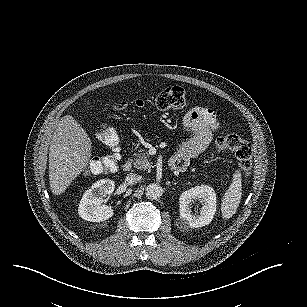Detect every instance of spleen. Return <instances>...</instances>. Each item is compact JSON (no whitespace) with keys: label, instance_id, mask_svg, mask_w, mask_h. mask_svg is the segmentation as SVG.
Segmentation results:
<instances>
[{"label":"spleen","instance_id":"3e777b00","mask_svg":"<svg viewBox=\"0 0 307 307\" xmlns=\"http://www.w3.org/2000/svg\"><path fill=\"white\" fill-rule=\"evenodd\" d=\"M242 197L241 172L236 170L233 174L232 183L221 200V213L223 219L231 218L237 211Z\"/></svg>","mask_w":307,"mask_h":307}]
</instances>
